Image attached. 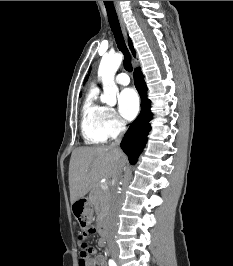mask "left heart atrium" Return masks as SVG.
Masks as SVG:
<instances>
[{"instance_id":"1","label":"left heart atrium","mask_w":233,"mask_h":266,"mask_svg":"<svg viewBox=\"0 0 233 266\" xmlns=\"http://www.w3.org/2000/svg\"><path fill=\"white\" fill-rule=\"evenodd\" d=\"M119 113L126 121L136 117L139 111V98L132 88L122 90L118 96Z\"/></svg>"}]
</instances>
